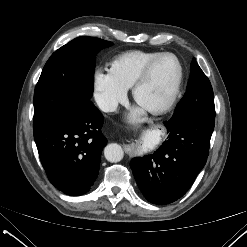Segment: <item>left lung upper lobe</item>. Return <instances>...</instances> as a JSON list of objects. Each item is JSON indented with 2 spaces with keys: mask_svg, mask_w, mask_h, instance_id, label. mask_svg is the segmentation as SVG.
<instances>
[{
  "mask_svg": "<svg viewBox=\"0 0 247 247\" xmlns=\"http://www.w3.org/2000/svg\"><path fill=\"white\" fill-rule=\"evenodd\" d=\"M189 112H199L215 118L214 96L211 83L203 73L195 58L191 63V74L187 85V92L178 103L171 120Z\"/></svg>",
  "mask_w": 247,
  "mask_h": 247,
  "instance_id": "5c2ea615",
  "label": "left lung upper lobe"
}]
</instances>
